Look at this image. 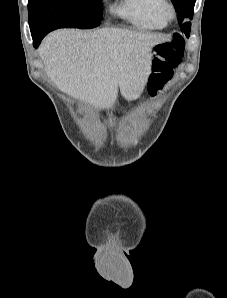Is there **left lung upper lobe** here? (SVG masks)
I'll return each mask as SVG.
<instances>
[{
  "mask_svg": "<svg viewBox=\"0 0 227 298\" xmlns=\"http://www.w3.org/2000/svg\"><path fill=\"white\" fill-rule=\"evenodd\" d=\"M177 12L178 22L181 31L185 33L187 37L190 35L191 23L186 19L193 18L194 5L196 0H171Z\"/></svg>",
  "mask_w": 227,
  "mask_h": 298,
  "instance_id": "left-lung-upper-lobe-1",
  "label": "left lung upper lobe"
}]
</instances>
